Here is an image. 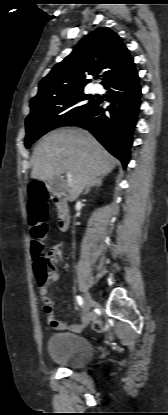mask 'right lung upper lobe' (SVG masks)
<instances>
[{"label":"right lung upper lobe","instance_id":"right-lung-upper-lobe-1","mask_svg":"<svg viewBox=\"0 0 168 415\" xmlns=\"http://www.w3.org/2000/svg\"><path fill=\"white\" fill-rule=\"evenodd\" d=\"M133 64L121 38L109 28H97L40 81L30 107L82 91L91 81L87 76H95L101 70H106L102 81L105 84Z\"/></svg>","mask_w":168,"mask_h":415}]
</instances>
